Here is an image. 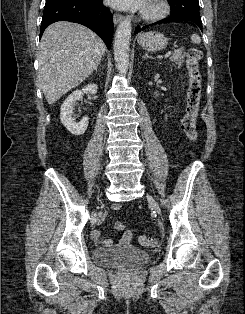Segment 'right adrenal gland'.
I'll list each match as a JSON object with an SVG mask.
<instances>
[{
  "instance_id": "2a0ac1e0",
  "label": "right adrenal gland",
  "mask_w": 245,
  "mask_h": 314,
  "mask_svg": "<svg viewBox=\"0 0 245 314\" xmlns=\"http://www.w3.org/2000/svg\"><path fill=\"white\" fill-rule=\"evenodd\" d=\"M100 65V63L97 65V67L94 69L97 72L98 66Z\"/></svg>"
}]
</instances>
